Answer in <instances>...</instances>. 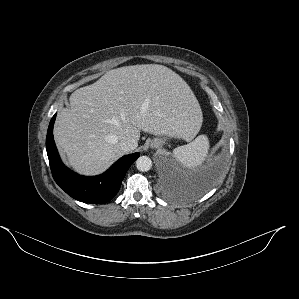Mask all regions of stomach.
<instances>
[{
  "instance_id": "stomach-1",
  "label": "stomach",
  "mask_w": 299,
  "mask_h": 299,
  "mask_svg": "<svg viewBox=\"0 0 299 299\" xmlns=\"http://www.w3.org/2000/svg\"><path fill=\"white\" fill-rule=\"evenodd\" d=\"M167 138H172L171 136H166V137H164V138H156V139H154L153 141H152V143H151V146L153 147V148H158V149H160V148H162V145L165 143V141H166V139ZM174 138H181V137H178V136H174ZM182 139V138H181ZM156 142H159V145H156L155 143Z\"/></svg>"
}]
</instances>
